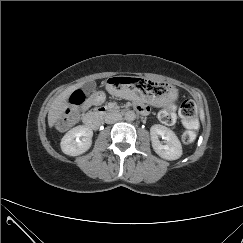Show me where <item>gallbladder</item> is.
I'll use <instances>...</instances> for the list:
<instances>
[{
    "label": "gallbladder",
    "instance_id": "1",
    "mask_svg": "<svg viewBox=\"0 0 243 243\" xmlns=\"http://www.w3.org/2000/svg\"><path fill=\"white\" fill-rule=\"evenodd\" d=\"M95 87H96V83L94 81H89L84 84L83 90L85 91V93L90 94L91 92L94 91Z\"/></svg>",
    "mask_w": 243,
    "mask_h": 243
}]
</instances>
